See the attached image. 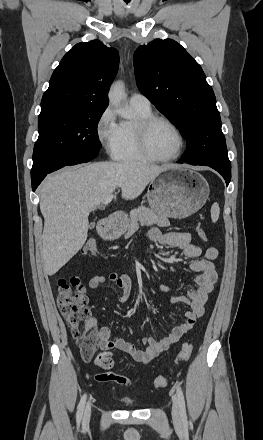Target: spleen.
Returning <instances> with one entry per match:
<instances>
[{
  "mask_svg": "<svg viewBox=\"0 0 263 440\" xmlns=\"http://www.w3.org/2000/svg\"><path fill=\"white\" fill-rule=\"evenodd\" d=\"M220 208L218 203H214L211 207V219L215 223L219 219Z\"/></svg>",
  "mask_w": 263,
  "mask_h": 440,
  "instance_id": "3e777b00",
  "label": "spleen"
}]
</instances>
